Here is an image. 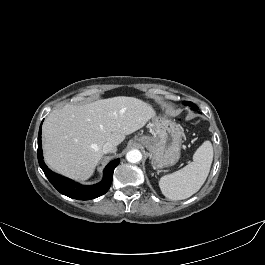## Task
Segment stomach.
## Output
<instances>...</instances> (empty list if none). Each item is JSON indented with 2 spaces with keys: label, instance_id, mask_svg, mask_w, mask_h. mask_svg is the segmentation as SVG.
Returning a JSON list of instances; mask_svg holds the SVG:
<instances>
[{
  "label": "stomach",
  "instance_id": "1",
  "mask_svg": "<svg viewBox=\"0 0 265 265\" xmlns=\"http://www.w3.org/2000/svg\"><path fill=\"white\" fill-rule=\"evenodd\" d=\"M150 126L153 136H142L138 142L149 150L152 166L161 169L176 164L181 154L182 127L165 118H153Z\"/></svg>",
  "mask_w": 265,
  "mask_h": 265
}]
</instances>
